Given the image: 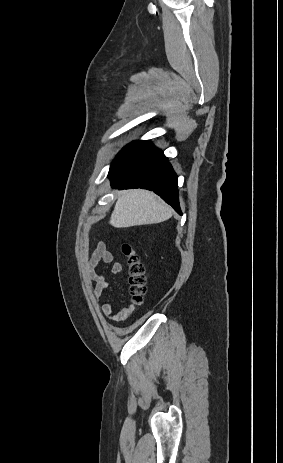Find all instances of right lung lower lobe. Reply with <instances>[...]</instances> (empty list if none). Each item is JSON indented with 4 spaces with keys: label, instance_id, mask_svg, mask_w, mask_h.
Listing matches in <instances>:
<instances>
[{
    "label": "right lung lower lobe",
    "instance_id": "right-lung-lower-lobe-1",
    "mask_svg": "<svg viewBox=\"0 0 283 463\" xmlns=\"http://www.w3.org/2000/svg\"><path fill=\"white\" fill-rule=\"evenodd\" d=\"M113 188H144L154 191L180 212L177 176L164 154L150 141H137L124 147L111 164Z\"/></svg>",
    "mask_w": 283,
    "mask_h": 463
}]
</instances>
